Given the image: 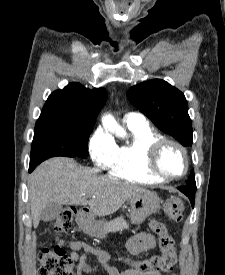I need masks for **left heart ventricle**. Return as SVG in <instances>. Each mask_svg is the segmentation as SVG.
<instances>
[{"instance_id": "b2bd125f", "label": "left heart ventricle", "mask_w": 225, "mask_h": 275, "mask_svg": "<svg viewBox=\"0 0 225 275\" xmlns=\"http://www.w3.org/2000/svg\"><path fill=\"white\" fill-rule=\"evenodd\" d=\"M161 168L165 173L180 174L184 167L181 153L173 146L167 147L160 159Z\"/></svg>"}]
</instances>
